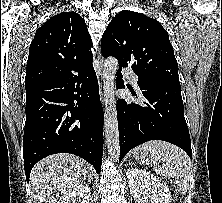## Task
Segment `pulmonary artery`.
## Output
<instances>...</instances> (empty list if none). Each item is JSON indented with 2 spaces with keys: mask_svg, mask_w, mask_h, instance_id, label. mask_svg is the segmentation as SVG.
I'll return each instance as SVG.
<instances>
[{
  "mask_svg": "<svg viewBox=\"0 0 222 203\" xmlns=\"http://www.w3.org/2000/svg\"><path fill=\"white\" fill-rule=\"evenodd\" d=\"M122 73L124 76L128 77L131 79L132 83L137 86V83H138V77L137 75L129 68H124L122 70Z\"/></svg>",
  "mask_w": 222,
  "mask_h": 203,
  "instance_id": "pulmonary-artery-1",
  "label": "pulmonary artery"
}]
</instances>
